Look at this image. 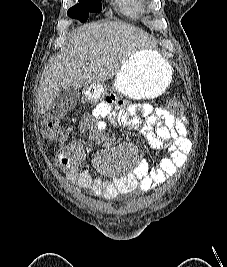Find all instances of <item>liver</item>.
<instances>
[{
    "mask_svg": "<svg viewBox=\"0 0 227 267\" xmlns=\"http://www.w3.org/2000/svg\"><path fill=\"white\" fill-rule=\"evenodd\" d=\"M149 43L139 29L117 21L92 23L73 31L41 78L38 112L48 111L61 89L88 87L113 78L133 53Z\"/></svg>",
    "mask_w": 227,
    "mask_h": 267,
    "instance_id": "liver-1",
    "label": "liver"
}]
</instances>
